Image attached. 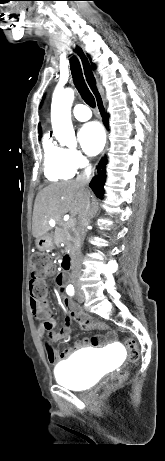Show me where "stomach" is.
Listing matches in <instances>:
<instances>
[{"mask_svg": "<svg viewBox=\"0 0 165 461\" xmlns=\"http://www.w3.org/2000/svg\"><path fill=\"white\" fill-rule=\"evenodd\" d=\"M36 247L40 251H45L52 248V235L49 233L44 234L36 240Z\"/></svg>", "mask_w": 165, "mask_h": 461, "instance_id": "stomach-1", "label": "stomach"}]
</instances>
